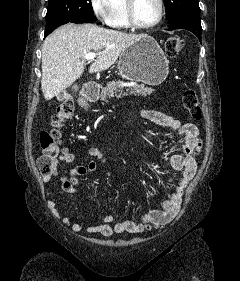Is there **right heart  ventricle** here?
<instances>
[{
	"label": "right heart ventricle",
	"instance_id": "obj_1",
	"mask_svg": "<svg viewBox=\"0 0 240 281\" xmlns=\"http://www.w3.org/2000/svg\"><path fill=\"white\" fill-rule=\"evenodd\" d=\"M111 8L108 25L118 29L129 28L126 0H112Z\"/></svg>",
	"mask_w": 240,
	"mask_h": 281
}]
</instances>
